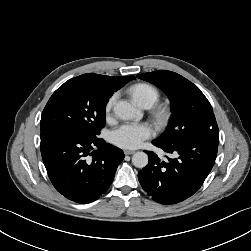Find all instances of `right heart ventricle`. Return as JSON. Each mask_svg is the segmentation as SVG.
Masks as SVG:
<instances>
[{
    "label": "right heart ventricle",
    "instance_id": "right-heart-ventricle-1",
    "mask_svg": "<svg viewBox=\"0 0 251 251\" xmlns=\"http://www.w3.org/2000/svg\"><path fill=\"white\" fill-rule=\"evenodd\" d=\"M130 93L140 106H153L160 97L156 87L148 83H139L130 88Z\"/></svg>",
    "mask_w": 251,
    "mask_h": 251
}]
</instances>
